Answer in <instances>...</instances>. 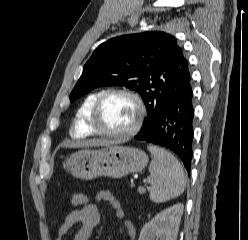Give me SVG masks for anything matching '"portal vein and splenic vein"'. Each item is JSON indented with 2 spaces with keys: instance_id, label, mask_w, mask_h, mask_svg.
<instances>
[{
  "instance_id": "18ae733b",
  "label": "portal vein and splenic vein",
  "mask_w": 248,
  "mask_h": 240,
  "mask_svg": "<svg viewBox=\"0 0 248 240\" xmlns=\"http://www.w3.org/2000/svg\"><path fill=\"white\" fill-rule=\"evenodd\" d=\"M138 191H139L140 193H144V192H145V188H144V187H139V188H138Z\"/></svg>"
}]
</instances>
